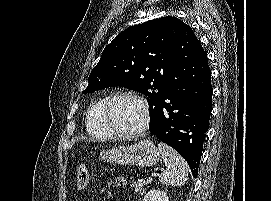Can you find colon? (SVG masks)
<instances>
[{"instance_id":"5ec220e1","label":"colon","mask_w":271,"mask_h":201,"mask_svg":"<svg viewBox=\"0 0 271 201\" xmlns=\"http://www.w3.org/2000/svg\"><path fill=\"white\" fill-rule=\"evenodd\" d=\"M76 177H77V188L80 191L84 190L89 182V172L87 165L85 163H82L78 166Z\"/></svg>"}]
</instances>
